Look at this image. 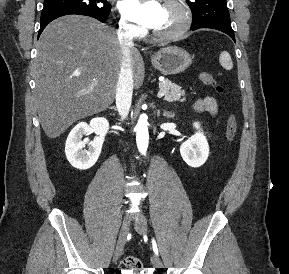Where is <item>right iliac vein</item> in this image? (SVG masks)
Returning <instances> with one entry per match:
<instances>
[{"mask_svg": "<svg viewBox=\"0 0 289 274\" xmlns=\"http://www.w3.org/2000/svg\"><path fill=\"white\" fill-rule=\"evenodd\" d=\"M129 221L128 219H125L122 223L121 229H120V233L118 236V240L116 243V247L114 250V254H113V261L116 262L120 256L122 255L123 252V248L127 239V235L129 233Z\"/></svg>", "mask_w": 289, "mask_h": 274, "instance_id": "right-iliac-vein-1", "label": "right iliac vein"}]
</instances>
